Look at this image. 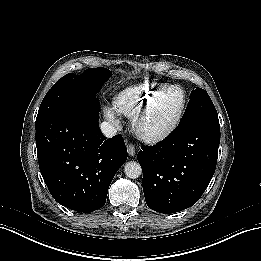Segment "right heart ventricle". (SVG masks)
<instances>
[{
    "label": "right heart ventricle",
    "mask_w": 261,
    "mask_h": 261,
    "mask_svg": "<svg viewBox=\"0 0 261 261\" xmlns=\"http://www.w3.org/2000/svg\"><path fill=\"white\" fill-rule=\"evenodd\" d=\"M138 93H141V91ZM131 100H132L131 96L129 98L126 97V99L124 98V99L120 100L117 104L118 105L117 107L119 108V109L116 108L117 111L125 113V114H129L131 112V109H133V106H134L133 104L135 102V101L131 102Z\"/></svg>",
    "instance_id": "right-heart-ventricle-1"
}]
</instances>
